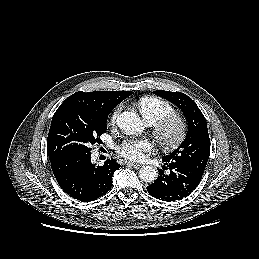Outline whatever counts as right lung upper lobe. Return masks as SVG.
<instances>
[{
	"label": "right lung upper lobe",
	"instance_id": "right-lung-upper-lobe-1",
	"mask_svg": "<svg viewBox=\"0 0 259 259\" xmlns=\"http://www.w3.org/2000/svg\"><path fill=\"white\" fill-rule=\"evenodd\" d=\"M131 94H133L131 91H94L87 93L80 91L68 97L63 104L79 103L110 113Z\"/></svg>",
	"mask_w": 259,
	"mask_h": 259
}]
</instances>
